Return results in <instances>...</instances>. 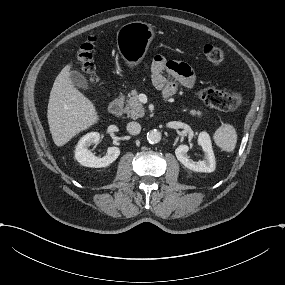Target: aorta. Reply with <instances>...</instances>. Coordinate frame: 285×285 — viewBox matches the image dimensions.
I'll list each match as a JSON object with an SVG mask.
<instances>
[{"instance_id": "obj_1", "label": "aorta", "mask_w": 285, "mask_h": 285, "mask_svg": "<svg viewBox=\"0 0 285 285\" xmlns=\"http://www.w3.org/2000/svg\"><path fill=\"white\" fill-rule=\"evenodd\" d=\"M147 140L151 144H157L161 140V133L158 130H156V129L150 130L147 133Z\"/></svg>"}]
</instances>
